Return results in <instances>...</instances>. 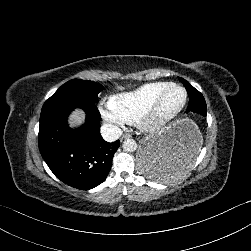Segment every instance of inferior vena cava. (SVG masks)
Masks as SVG:
<instances>
[{
    "label": "inferior vena cava",
    "mask_w": 251,
    "mask_h": 251,
    "mask_svg": "<svg viewBox=\"0 0 251 251\" xmlns=\"http://www.w3.org/2000/svg\"><path fill=\"white\" fill-rule=\"evenodd\" d=\"M102 138L107 142H115L118 140L123 132L113 123H104L100 128Z\"/></svg>",
    "instance_id": "1"
}]
</instances>
